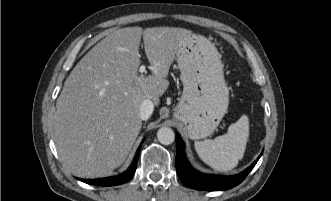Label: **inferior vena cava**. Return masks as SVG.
<instances>
[{
	"mask_svg": "<svg viewBox=\"0 0 331 201\" xmlns=\"http://www.w3.org/2000/svg\"><path fill=\"white\" fill-rule=\"evenodd\" d=\"M154 109V104L151 100H144L140 105V118L142 120H147L151 116Z\"/></svg>",
	"mask_w": 331,
	"mask_h": 201,
	"instance_id": "obj_1",
	"label": "inferior vena cava"
}]
</instances>
